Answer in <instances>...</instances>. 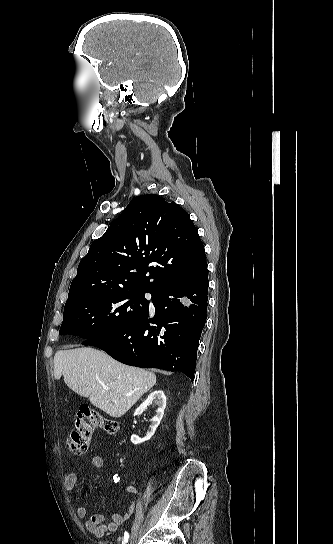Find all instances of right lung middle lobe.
Listing matches in <instances>:
<instances>
[{
  "instance_id": "right-lung-middle-lobe-1",
  "label": "right lung middle lobe",
  "mask_w": 333,
  "mask_h": 544,
  "mask_svg": "<svg viewBox=\"0 0 333 544\" xmlns=\"http://www.w3.org/2000/svg\"><path fill=\"white\" fill-rule=\"evenodd\" d=\"M144 290H116L77 298L65 304L60 335L90 339L124 329L148 310Z\"/></svg>"
}]
</instances>
